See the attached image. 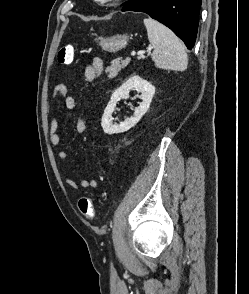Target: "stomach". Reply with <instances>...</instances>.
<instances>
[{"label":"stomach","mask_w":249,"mask_h":294,"mask_svg":"<svg viewBox=\"0 0 249 294\" xmlns=\"http://www.w3.org/2000/svg\"><path fill=\"white\" fill-rule=\"evenodd\" d=\"M128 36L123 34V35H114L112 37H100V45L101 47L108 51V52H117L124 48L127 43H128Z\"/></svg>","instance_id":"1"}]
</instances>
